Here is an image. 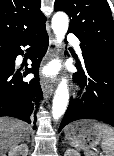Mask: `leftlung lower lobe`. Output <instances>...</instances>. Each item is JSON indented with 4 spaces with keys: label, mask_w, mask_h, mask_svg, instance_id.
<instances>
[{
    "label": "left lung lower lobe",
    "mask_w": 114,
    "mask_h": 156,
    "mask_svg": "<svg viewBox=\"0 0 114 156\" xmlns=\"http://www.w3.org/2000/svg\"><path fill=\"white\" fill-rule=\"evenodd\" d=\"M83 63L76 62L74 77L81 88V99H71L59 132L70 122L96 119L114 126V61L83 49Z\"/></svg>",
    "instance_id": "1"
}]
</instances>
